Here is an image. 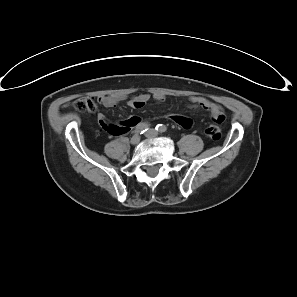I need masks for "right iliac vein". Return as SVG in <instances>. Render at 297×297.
Listing matches in <instances>:
<instances>
[{
    "label": "right iliac vein",
    "instance_id": "obj_1",
    "mask_svg": "<svg viewBox=\"0 0 297 297\" xmlns=\"http://www.w3.org/2000/svg\"><path fill=\"white\" fill-rule=\"evenodd\" d=\"M139 141H140V136L139 135H134L130 140L132 145H137L139 143Z\"/></svg>",
    "mask_w": 297,
    "mask_h": 297
}]
</instances>
